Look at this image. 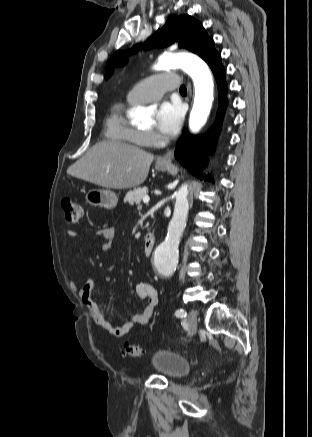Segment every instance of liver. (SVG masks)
I'll list each match as a JSON object with an SVG mask.
<instances>
[{
  "mask_svg": "<svg viewBox=\"0 0 312 437\" xmlns=\"http://www.w3.org/2000/svg\"><path fill=\"white\" fill-rule=\"evenodd\" d=\"M153 160V154L139 147L105 140L92 146L67 173L105 188L126 189L146 180Z\"/></svg>",
  "mask_w": 312,
  "mask_h": 437,
  "instance_id": "obj_1",
  "label": "liver"
}]
</instances>
